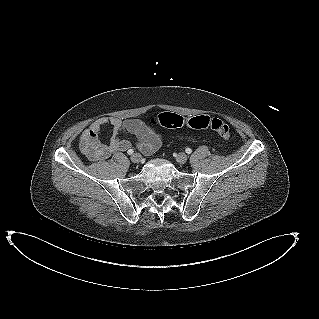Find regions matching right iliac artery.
<instances>
[{"instance_id":"obj_1","label":"right iliac artery","mask_w":319,"mask_h":319,"mask_svg":"<svg viewBox=\"0 0 319 319\" xmlns=\"http://www.w3.org/2000/svg\"><path fill=\"white\" fill-rule=\"evenodd\" d=\"M133 152H134V150H133V149H130V150H128L127 153H128L129 155H131V154H133Z\"/></svg>"}]
</instances>
